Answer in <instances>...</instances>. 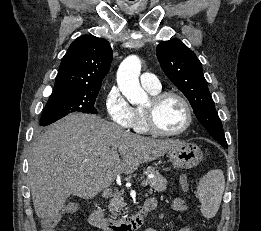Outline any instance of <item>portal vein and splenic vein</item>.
<instances>
[{
  "label": "portal vein and splenic vein",
  "mask_w": 261,
  "mask_h": 231,
  "mask_svg": "<svg viewBox=\"0 0 261 231\" xmlns=\"http://www.w3.org/2000/svg\"><path fill=\"white\" fill-rule=\"evenodd\" d=\"M151 177H153V175H152ZM147 185H148V180H143V181L141 182V186H142V187H146Z\"/></svg>",
  "instance_id": "portal-vein-and-splenic-vein-1"
}]
</instances>
